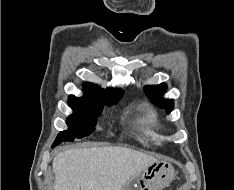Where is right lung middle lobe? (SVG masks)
Masks as SVG:
<instances>
[{"label":"right lung middle lobe","mask_w":234,"mask_h":190,"mask_svg":"<svg viewBox=\"0 0 234 190\" xmlns=\"http://www.w3.org/2000/svg\"><path fill=\"white\" fill-rule=\"evenodd\" d=\"M73 109V114L67 118L68 130L61 131L52 147L63 141L73 142L75 138H83L94 131L97 117L101 114L105 104L86 103L79 101H68ZM112 105V104H106Z\"/></svg>","instance_id":"obj_1"}]
</instances>
